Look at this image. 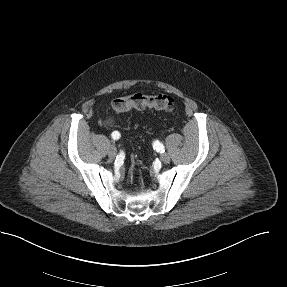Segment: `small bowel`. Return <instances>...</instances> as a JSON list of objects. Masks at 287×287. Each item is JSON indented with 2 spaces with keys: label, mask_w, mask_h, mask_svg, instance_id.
I'll use <instances>...</instances> for the list:
<instances>
[{
  "label": "small bowel",
  "mask_w": 287,
  "mask_h": 287,
  "mask_svg": "<svg viewBox=\"0 0 287 287\" xmlns=\"http://www.w3.org/2000/svg\"><path fill=\"white\" fill-rule=\"evenodd\" d=\"M112 119H108L107 124H111L112 123Z\"/></svg>",
  "instance_id": "small-bowel-1"
}]
</instances>
